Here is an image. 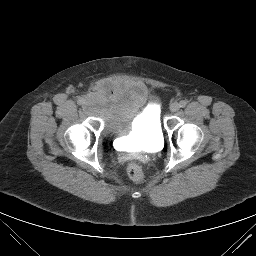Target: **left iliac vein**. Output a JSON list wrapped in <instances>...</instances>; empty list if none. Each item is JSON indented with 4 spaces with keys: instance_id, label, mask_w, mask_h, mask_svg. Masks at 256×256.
<instances>
[{
    "instance_id": "obj_1",
    "label": "left iliac vein",
    "mask_w": 256,
    "mask_h": 256,
    "mask_svg": "<svg viewBox=\"0 0 256 256\" xmlns=\"http://www.w3.org/2000/svg\"><path fill=\"white\" fill-rule=\"evenodd\" d=\"M180 106L177 102H174L170 105V111L171 112H177L179 110Z\"/></svg>"
}]
</instances>
